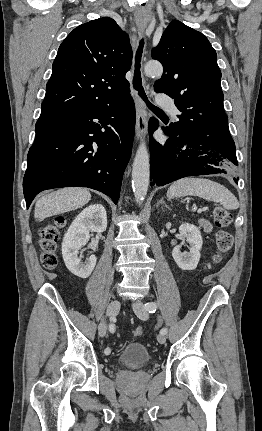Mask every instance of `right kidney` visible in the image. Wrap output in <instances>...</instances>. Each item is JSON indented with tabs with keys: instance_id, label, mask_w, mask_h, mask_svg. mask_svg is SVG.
Wrapping results in <instances>:
<instances>
[{
	"instance_id": "right-kidney-1",
	"label": "right kidney",
	"mask_w": 262,
	"mask_h": 431,
	"mask_svg": "<svg viewBox=\"0 0 262 431\" xmlns=\"http://www.w3.org/2000/svg\"><path fill=\"white\" fill-rule=\"evenodd\" d=\"M107 228V214L101 204L86 207L73 220L62 242V256L67 269L74 275L87 278L91 275L97 258L91 255L83 263L78 257L79 250L86 245L90 231L104 232Z\"/></svg>"
}]
</instances>
